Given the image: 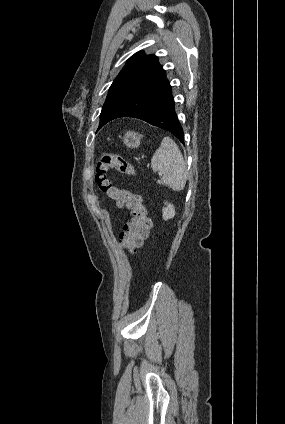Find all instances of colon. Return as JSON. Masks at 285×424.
<instances>
[{"label": "colon", "mask_w": 285, "mask_h": 424, "mask_svg": "<svg viewBox=\"0 0 285 424\" xmlns=\"http://www.w3.org/2000/svg\"><path fill=\"white\" fill-rule=\"evenodd\" d=\"M115 170L122 175L134 176L136 170L124 156L115 153H102L96 164L95 180L100 190L118 207L125 208L129 213V221L121 233L120 244L126 250L133 252L141 247L152 229V220L141 194L133 193L124 188H118L108 178V173Z\"/></svg>", "instance_id": "1"}]
</instances>
